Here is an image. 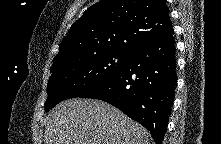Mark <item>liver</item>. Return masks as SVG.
Masks as SVG:
<instances>
[{"label": "liver", "instance_id": "liver-1", "mask_svg": "<svg viewBox=\"0 0 221 144\" xmlns=\"http://www.w3.org/2000/svg\"><path fill=\"white\" fill-rule=\"evenodd\" d=\"M149 132L112 105L69 99L48 115L45 144H149Z\"/></svg>", "mask_w": 221, "mask_h": 144}]
</instances>
